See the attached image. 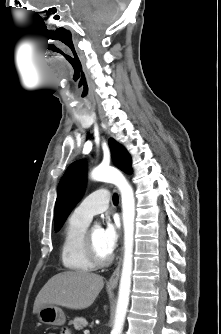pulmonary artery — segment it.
Wrapping results in <instances>:
<instances>
[{"instance_id":"pulmonary-artery-1","label":"pulmonary artery","mask_w":221,"mask_h":334,"mask_svg":"<svg viewBox=\"0 0 221 334\" xmlns=\"http://www.w3.org/2000/svg\"><path fill=\"white\" fill-rule=\"evenodd\" d=\"M110 201V193L101 188L89 194L74 209L73 214L86 222H90L94 215L105 211Z\"/></svg>"}]
</instances>
